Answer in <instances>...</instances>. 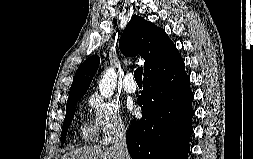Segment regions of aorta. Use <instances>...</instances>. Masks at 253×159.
<instances>
[{"mask_svg": "<svg viewBox=\"0 0 253 159\" xmlns=\"http://www.w3.org/2000/svg\"><path fill=\"white\" fill-rule=\"evenodd\" d=\"M117 74L113 68L107 69L99 81V91L104 97H110L116 87Z\"/></svg>", "mask_w": 253, "mask_h": 159, "instance_id": "762f6f07", "label": "aorta"}]
</instances>
